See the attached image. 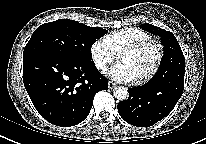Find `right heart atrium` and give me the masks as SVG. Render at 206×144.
Wrapping results in <instances>:
<instances>
[{
    "label": "right heart atrium",
    "instance_id": "obj_1",
    "mask_svg": "<svg viewBox=\"0 0 206 144\" xmlns=\"http://www.w3.org/2000/svg\"><path fill=\"white\" fill-rule=\"evenodd\" d=\"M89 51L95 67L100 71H105L116 57L106 38L96 39Z\"/></svg>",
    "mask_w": 206,
    "mask_h": 144
}]
</instances>
